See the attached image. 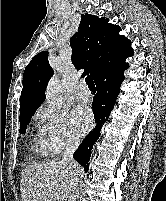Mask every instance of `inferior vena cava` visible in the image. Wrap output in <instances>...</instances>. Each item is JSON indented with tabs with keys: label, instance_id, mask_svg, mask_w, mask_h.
<instances>
[{
	"label": "inferior vena cava",
	"instance_id": "inferior-vena-cava-1",
	"mask_svg": "<svg viewBox=\"0 0 166 201\" xmlns=\"http://www.w3.org/2000/svg\"><path fill=\"white\" fill-rule=\"evenodd\" d=\"M79 143H80L79 140L76 139L68 140L65 150L63 152L62 157L63 162L69 163L70 165L75 164L73 160V154L77 150ZM77 194H78V178H75L73 182V190L69 196V201H76Z\"/></svg>",
	"mask_w": 166,
	"mask_h": 201
}]
</instances>
